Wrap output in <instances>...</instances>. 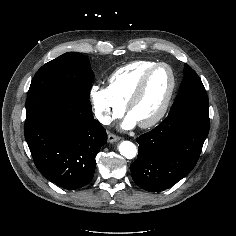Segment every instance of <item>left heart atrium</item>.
Wrapping results in <instances>:
<instances>
[{
    "mask_svg": "<svg viewBox=\"0 0 236 236\" xmlns=\"http://www.w3.org/2000/svg\"><path fill=\"white\" fill-rule=\"evenodd\" d=\"M137 124V121L129 114L123 121L122 128L131 129Z\"/></svg>",
    "mask_w": 236,
    "mask_h": 236,
    "instance_id": "1",
    "label": "left heart atrium"
}]
</instances>
